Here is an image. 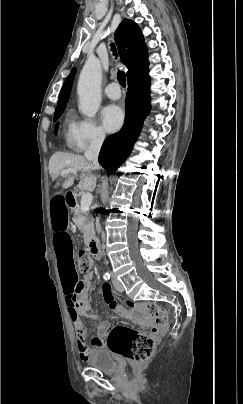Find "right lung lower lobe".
I'll use <instances>...</instances> for the list:
<instances>
[{"label":"right lung lower lobe","mask_w":243,"mask_h":404,"mask_svg":"<svg viewBox=\"0 0 243 404\" xmlns=\"http://www.w3.org/2000/svg\"><path fill=\"white\" fill-rule=\"evenodd\" d=\"M150 77L148 70L128 80L123 128L109 136L99 154V163L108 172H115L130 154L150 111Z\"/></svg>","instance_id":"98d812e1"}]
</instances>
